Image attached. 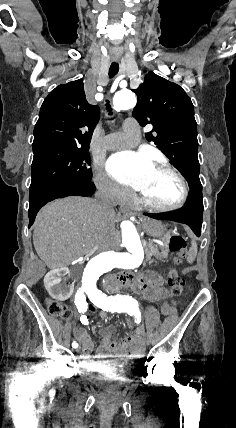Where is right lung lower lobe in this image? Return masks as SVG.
<instances>
[{"label": "right lung lower lobe", "instance_id": "obj_1", "mask_svg": "<svg viewBox=\"0 0 236 428\" xmlns=\"http://www.w3.org/2000/svg\"><path fill=\"white\" fill-rule=\"evenodd\" d=\"M96 187L93 182H59L45 185L29 191V228L32 226L37 212L48 202L72 195L91 196Z\"/></svg>", "mask_w": 236, "mask_h": 428}]
</instances>
